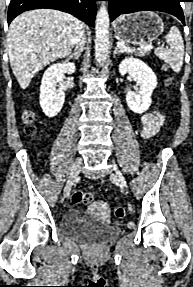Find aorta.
<instances>
[{
  "mask_svg": "<svg viewBox=\"0 0 193 287\" xmlns=\"http://www.w3.org/2000/svg\"><path fill=\"white\" fill-rule=\"evenodd\" d=\"M110 19L107 8L102 5L97 12L95 27V59L102 65L109 53Z\"/></svg>",
  "mask_w": 193,
  "mask_h": 287,
  "instance_id": "obj_1",
  "label": "aorta"
}]
</instances>
